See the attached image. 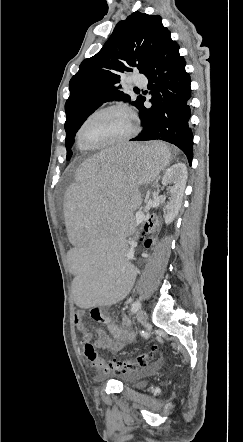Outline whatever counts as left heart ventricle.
<instances>
[{
    "label": "left heart ventricle",
    "instance_id": "obj_1",
    "mask_svg": "<svg viewBox=\"0 0 243 442\" xmlns=\"http://www.w3.org/2000/svg\"><path fill=\"white\" fill-rule=\"evenodd\" d=\"M130 129L131 120L125 112L111 111L90 120L82 139L88 145H100L125 136Z\"/></svg>",
    "mask_w": 243,
    "mask_h": 442
}]
</instances>
